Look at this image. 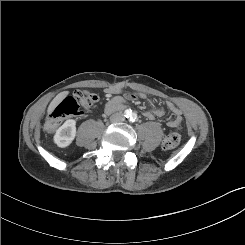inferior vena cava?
<instances>
[{"instance_id": "inferior-vena-cava-1", "label": "inferior vena cava", "mask_w": 245, "mask_h": 245, "mask_svg": "<svg viewBox=\"0 0 245 245\" xmlns=\"http://www.w3.org/2000/svg\"><path fill=\"white\" fill-rule=\"evenodd\" d=\"M112 119L122 121L124 120L123 114L121 113H114L112 116Z\"/></svg>"}]
</instances>
